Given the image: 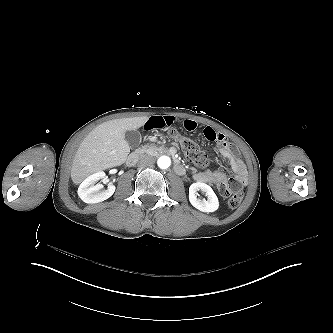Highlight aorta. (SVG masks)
<instances>
[{
    "label": "aorta",
    "instance_id": "aorta-1",
    "mask_svg": "<svg viewBox=\"0 0 333 333\" xmlns=\"http://www.w3.org/2000/svg\"><path fill=\"white\" fill-rule=\"evenodd\" d=\"M157 164H158L159 168L167 169L171 164V160L168 156H161L158 159Z\"/></svg>",
    "mask_w": 333,
    "mask_h": 333
}]
</instances>
